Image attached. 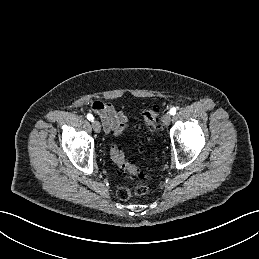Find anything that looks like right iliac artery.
Instances as JSON below:
<instances>
[{
  "label": "right iliac artery",
  "instance_id": "obj_1",
  "mask_svg": "<svg viewBox=\"0 0 259 259\" xmlns=\"http://www.w3.org/2000/svg\"><path fill=\"white\" fill-rule=\"evenodd\" d=\"M87 119H88L89 121H93V120H94V117H93L92 114H87Z\"/></svg>",
  "mask_w": 259,
  "mask_h": 259
}]
</instances>
